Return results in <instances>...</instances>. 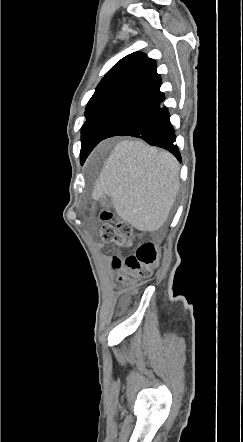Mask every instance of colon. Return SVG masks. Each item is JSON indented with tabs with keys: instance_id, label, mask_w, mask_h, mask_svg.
Returning a JSON list of instances; mask_svg holds the SVG:
<instances>
[{
	"instance_id": "colon-1",
	"label": "colon",
	"mask_w": 243,
	"mask_h": 442,
	"mask_svg": "<svg viewBox=\"0 0 243 442\" xmlns=\"http://www.w3.org/2000/svg\"><path fill=\"white\" fill-rule=\"evenodd\" d=\"M109 218V213H104L101 216V219L104 221L100 229L102 241L107 244H114L120 248L130 247L132 236L131 226L124 221L108 223L106 221ZM158 257L159 253L154 244L143 243L137 248L136 252L129 255L123 263L119 262L117 258L114 259V266L116 268L123 267L125 270L123 283L129 293L134 292L138 278H144L150 274V269L158 261Z\"/></svg>"
}]
</instances>
